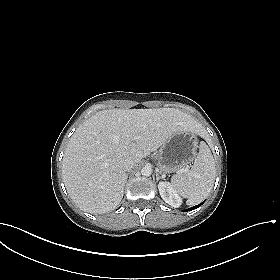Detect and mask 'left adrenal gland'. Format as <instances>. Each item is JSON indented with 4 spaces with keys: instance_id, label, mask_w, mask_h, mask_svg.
<instances>
[{
    "instance_id": "1",
    "label": "left adrenal gland",
    "mask_w": 280,
    "mask_h": 280,
    "mask_svg": "<svg viewBox=\"0 0 280 280\" xmlns=\"http://www.w3.org/2000/svg\"><path fill=\"white\" fill-rule=\"evenodd\" d=\"M160 179H163V177H161L159 173H156V180L159 181Z\"/></svg>"
}]
</instances>
